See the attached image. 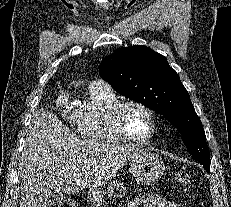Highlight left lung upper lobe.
<instances>
[{"label":"left lung upper lobe","mask_w":231,"mask_h":207,"mask_svg":"<svg viewBox=\"0 0 231 207\" xmlns=\"http://www.w3.org/2000/svg\"><path fill=\"white\" fill-rule=\"evenodd\" d=\"M99 73L121 95L163 115L181 133L191 155L210 167L202 122L179 75L163 55L142 45L119 48L102 60Z\"/></svg>","instance_id":"5c2ea615"}]
</instances>
